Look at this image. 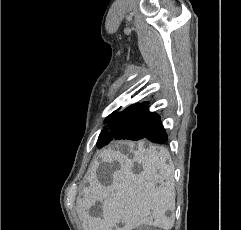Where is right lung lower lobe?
Segmentation results:
<instances>
[{"instance_id":"obj_1","label":"right lung lower lobe","mask_w":241,"mask_h":230,"mask_svg":"<svg viewBox=\"0 0 241 230\" xmlns=\"http://www.w3.org/2000/svg\"><path fill=\"white\" fill-rule=\"evenodd\" d=\"M130 130L137 133L138 138H147L154 143L164 144L167 141V134L161 124L160 117L156 113L149 112L147 108L139 113V121L131 125Z\"/></svg>"}]
</instances>
